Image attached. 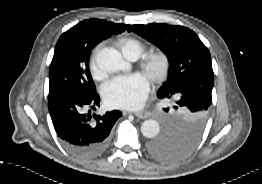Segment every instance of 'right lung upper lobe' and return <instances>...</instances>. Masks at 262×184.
<instances>
[{"label": "right lung upper lobe", "instance_id": "1", "mask_svg": "<svg viewBox=\"0 0 262 184\" xmlns=\"http://www.w3.org/2000/svg\"><path fill=\"white\" fill-rule=\"evenodd\" d=\"M80 27H86L98 33L110 36L112 33H119L124 31L126 28L129 27V25L115 24L101 19H89L77 24L67 32Z\"/></svg>", "mask_w": 262, "mask_h": 184}]
</instances>
